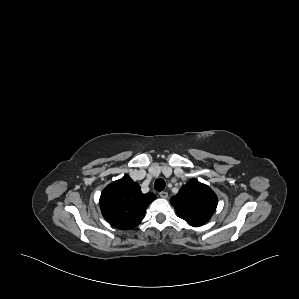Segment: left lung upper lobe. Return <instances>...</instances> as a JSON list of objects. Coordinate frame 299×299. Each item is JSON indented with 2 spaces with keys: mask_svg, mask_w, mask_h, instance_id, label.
Segmentation results:
<instances>
[{
  "mask_svg": "<svg viewBox=\"0 0 299 299\" xmlns=\"http://www.w3.org/2000/svg\"><path fill=\"white\" fill-rule=\"evenodd\" d=\"M179 218L193 227L207 223L217 207V197L211 188L191 179L171 198Z\"/></svg>",
  "mask_w": 299,
  "mask_h": 299,
  "instance_id": "left-lung-upper-lobe-1",
  "label": "left lung upper lobe"
}]
</instances>
